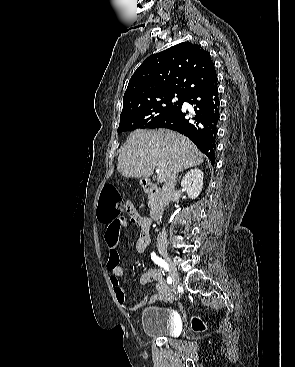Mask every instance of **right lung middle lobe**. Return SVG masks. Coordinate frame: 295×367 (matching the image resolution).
I'll use <instances>...</instances> for the list:
<instances>
[{
  "mask_svg": "<svg viewBox=\"0 0 295 367\" xmlns=\"http://www.w3.org/2000/svg\"><path fill=\"white\" fill-rule=\"evenodd\" d=\"M185 96L176 94L159 95L130 103L120 115L118 134L134 129L149 128L158 120L179 109Z\"/></svg>",
  "mask_w": 295,
  "mask_h": 367,
  "instance_id": "right-lung-middle-lobe-1",
  "label": "right lung middle lobe"
}]
</instances>
